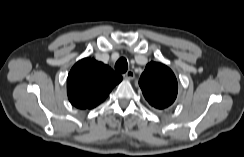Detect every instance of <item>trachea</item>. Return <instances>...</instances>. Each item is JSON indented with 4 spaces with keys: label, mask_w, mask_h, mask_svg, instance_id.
Wrapping results in <instances>:
<instances>
[{
    "label": "trachea",
    "mask_w": 244,
    "mask_h": 157,
    "mask_svg": "<svg viewBox=\"0 0 244 157\" xmlns=\"http://www.w3.org/2000/svg\"><path fill=\"white\" fill-rule=\"evenodd\" d=\"M128 69V62L125 58H120L115 64V70L119 73H125Z\"/></svg>",
    "instance_id": "trachea-1"
}]
</instances>
